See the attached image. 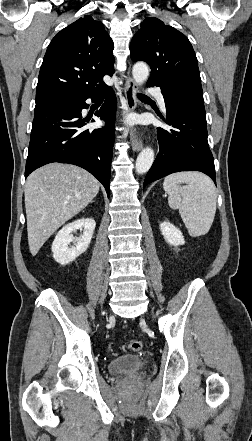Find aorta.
<instances>
[{"mask_svg":"<svg viewBox=\"0 0 252 441\" xmlns=\"http://www.w3.org/2000/svg\"><path fill=\"white\" fill-rule=\"evenodd\" d=\"M133 79L137 84L144 83L149 76V68L143 62L136 63L132 69ZM154 162V151L150 147L144 148L136 160V172L138 174L146 173Z\"/></svg>","mask_w":252,"mask_h":441,"instance_id":"obj_1","label":"aorta"}]
</instances>
